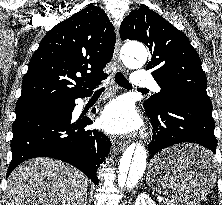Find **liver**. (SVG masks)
<instances>
[{"instance_id": "liver-1", "label": "liver", "mask_w": 222, "mask_h": 205, "mask_svg": "<svg viewBox=\"0 0 222 205\" xmlns=\"http://www.w3.org/2000/svg\"><path fill=\"white\" fill-rule=\"evenodd\" d=\"M87 181L64 162L46 157L28 160L8 178L6 205H83Z\"/></svg>"}]
</instances>
